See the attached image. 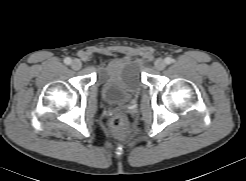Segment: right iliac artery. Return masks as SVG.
<instances>
[{
  "instance_id": "82829eb1",
  "label": "right iliac artery",
  "mask_w": 246,
  "mask_h": 181,
  "mask_svg": "<svg viewBox=\"0 0 246 181\" xmlns=\"http://www.w3.org/2000/svg\"><path fill=\"white\" fill-rule=\"evenodd\" d=\"M64 63L69 65L71 63V58H69V57L65 58Z\"/></svg>"
}]
</instances>
